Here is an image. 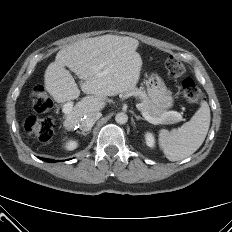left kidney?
<instances>
[{
	"instance_id": "obj_1",
	"label": "left kidney",
	"mask_w": 232,
	"mask_h": 232,
	"mask_svg": "<svg viewBox=\"0 0 232 232\" xmlns=\"http://www.w3.org/2000/svg\"><path fill=\"white\" fill-rule=\"evenodd\" d=\"M145 141L148 147L154 148L155 147V138L154 135L150 132L145 134Z\"/></svg>"
}]
</instances>
